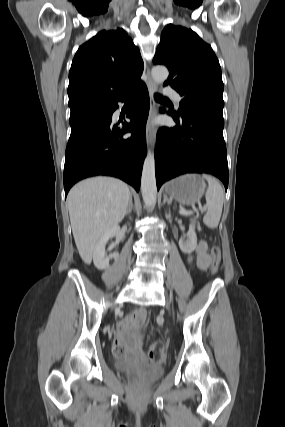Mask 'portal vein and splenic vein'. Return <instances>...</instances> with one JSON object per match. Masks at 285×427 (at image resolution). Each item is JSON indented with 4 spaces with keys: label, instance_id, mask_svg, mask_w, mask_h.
Masks as SVG:
<instances>
[{
    "label": "portal vein and splenic vein",
    "instance_id": "1",
    "mask_svg": "<svg viewBox=\"0 0 285 427\" xmlns=\"http://www.w3.org/2000/svg\"><path fill=\"white\" fill-rule=\"evenodd\" d=\"M201 210L203 211L204 209H201ZM179 213L182 215H192L194 213V211H192V210H180Z\"/></svg>",
    "mask_w": 285,
    "mask_h": 427
}]
</instances>
